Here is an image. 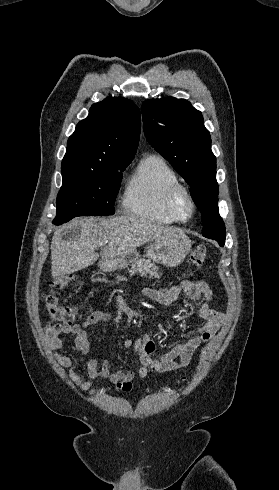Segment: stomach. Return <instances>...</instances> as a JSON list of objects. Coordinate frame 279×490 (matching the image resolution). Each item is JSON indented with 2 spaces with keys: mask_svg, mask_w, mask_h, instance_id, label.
I'll return each instance as SVG.
<instances>
[{
  "mask_svg": "<svg viewBox=\"0 0 279 490\" xmlns=\"http://www.w3.org/2000/svg\"><path fill=\"white\" fill-rule=\"evenodd\" d=\"M191 250V244L185 238L179 240H164V242H153L146 248V256L148 260H153L156 264H162L166 268H177L184 262L188 252ZM139 252H129L117 258L110 260H100L99 268L102 272H115V270H123L130 264L138 262Z\"/></svg>",
  "mask_w": 279,
  "mask_h": 490,
  "instance_id": "obj_1",
  "label": "stomach"
}]
</instances>
